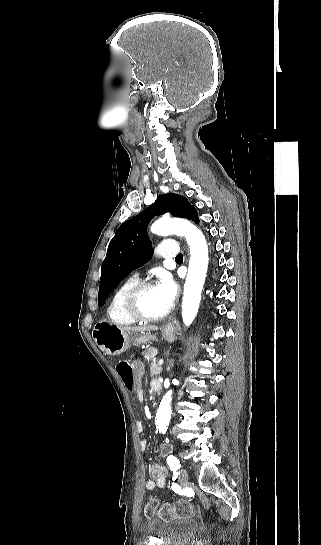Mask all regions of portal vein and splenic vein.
Listing matches in <instances>:
<instances>
[{
    "label": "portal vein and splenic vein",
    "mask_w": 321,
    "mask_h": 545,
    "mask_svg": "<svg viewBox=\"0 0 321 545\" xmlns=\"http://www.w3.org/2000/svg\"><path fill=\"white\" fill-rule=\"evenodd\" d=\"M159 362H160V363H158V366H162V364H163L162 359H159Z\"/></svg>",
    "instance_id": "18ae733b"
}]
</instances>
